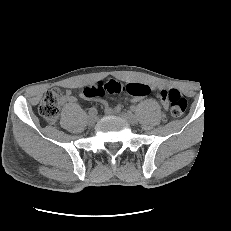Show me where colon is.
Here are the masks:
<instances>
[{
    "mask_svg": "<svg viewBox=\"0 0 231 231\" xmlns=\"http://www.w3.org/2000/svg\"><path fill=\"white\" fill-rule=\"evenodd\" d=\"M106 93H125L133 97H145L150 93V88L144 84H124L110 80L90 85L83 91L84 96L87 98L102 97ZM160 98L172 116H181L187 108V101L178 89L164 90L160 93ZM62 99L63 91L55 87L47 91L41 100L39 113L48 123L55 124L57 122Z\"/></svg>",
    "mask_w": 231,
    "mask_h": 231,
    "instance_id": "1",
    "label": "colon"
}]
</instances>
